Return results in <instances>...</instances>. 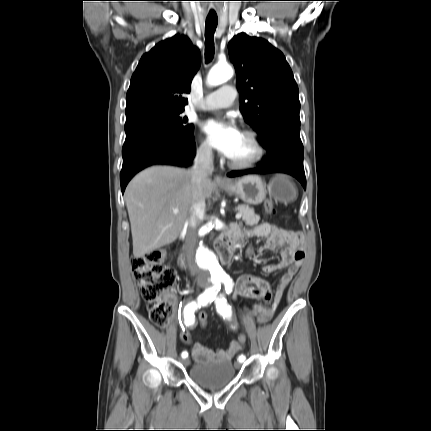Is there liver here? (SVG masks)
Listing matches in <instances>:
<instances>
[{
    "instance_id": "6515ba94",
    "label": "liver",
    "mask_w": 431,
    "mask_h": 431,
    "mask_svg": "<svg viewBox=\"0 0 431 431\" xmlns=\"http://www.w3.org/2000/svg\"><path fill=\"white\" fill-rule=\"evenodd\" d=\"M215 185L201 183L203 199L212 196ZM131 224L133 255L147 253L174 242L191 214L194 202L190 170L153 166L136 175L125 191ZM177 209V214L173 210Z\"/></svg>"
}]
</instances>
